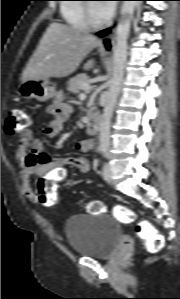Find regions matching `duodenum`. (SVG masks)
Masks as SVG:
<instances>
[{
    "label": "duodenum",
    "mask_w": 180,
    "mask_h": 299,
    "mask_svg": "<svg viewBox=\"0 0 180 299\" xmlns=\"http://www.w3.org/2000/svg\"><path fill=\"white\" fill-rule=\"evenodd\" d=\"M100 126V119L97 116L89 118L86 124V130L89 134H95Z\"/></svg>",
    "instance_id": "duodenum-1"
}]
</instances>
